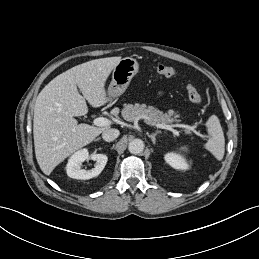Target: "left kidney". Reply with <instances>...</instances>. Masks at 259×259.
<instances>
[{"label": "left kidney", "mask_w": 259, "mask_h": 259, "mask_svg": "<svg viewBox=\"0 0 259 259\" xmlns=\"http://www.w3.org/2000/svg\"><path fill=\"white\" fill-rule=\"evenodd\" d=\"M165 161L175 169L186 170L189 165L186 160L178 154L167 153L164 156Z\"/></svg>", "instance_id": "obj_1"}]
</instances>
